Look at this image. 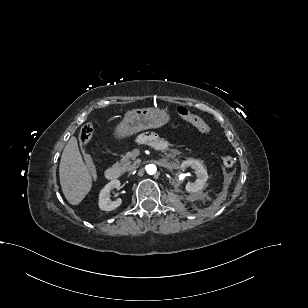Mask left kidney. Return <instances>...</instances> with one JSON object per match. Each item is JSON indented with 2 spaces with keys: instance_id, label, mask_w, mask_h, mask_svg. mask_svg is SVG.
I'll return each mask as SVG.
<instances>
[{
  "instance_id": "5707ae66",
  "label": "left kidney",
  "mask_w": 308,
  "mask_h": 308,
  "mask_svg": "<svg viewBox=\"0 0 308 308\" xmlns=\"http://www.w3.org/2000/svg\"><path fill=\"white\" fill-rule=\"evenodd\" d=\"M181 167L183 169L187 167H191L195 170V174H196L195 182L194 183L188 182L186 184V187H185L186 191L189 193L201 191L204 188L205 183L208 179V174L204 166L197 160L188 159L181 164Z\"/></svg>"
}]
</instances>
